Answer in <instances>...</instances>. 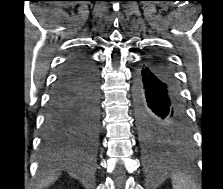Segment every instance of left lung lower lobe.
<instances>
[{
	"label": "left lung lower lobe",
	"instance_id": "0a47b994",
	"mask_svg": "<svg viewBox=\"0 0 223 189\" xmlns=\"http://www.w3.org/2000/svg\"><path fill=\"white\" fill-rule=\"evenodd\" d=\"M133 94L138 127L162 125L173 136L189 141L190 129L178 84L161 60L148 59L136 71Z\"/></svg>",
	"mask_w": 223,
	"mask_h": 189
}]
</instances>
